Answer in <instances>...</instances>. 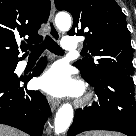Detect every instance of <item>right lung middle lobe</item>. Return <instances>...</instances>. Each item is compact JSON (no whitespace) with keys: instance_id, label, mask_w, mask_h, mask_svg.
<instances>
[{"instance_id":"right-lung-middle-lobe-1","label":"right lung middle lobe","mask_w":136,"mask_h":136,"mask_svg":"<svg viewBox=\"0 0 136 136\" xmlns=\"http://www.w3.org/2000/svg\"><path fill=\"white\" fill-rule=\"evenodd\" d=\"M17 63L0 64V81H8L17 78L14 73Z\"/></svg>"}]
</instances>
